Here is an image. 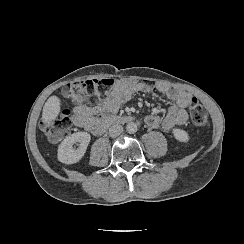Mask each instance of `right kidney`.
I'll return each mask as SVG.
<instances>
[{
  "instance_id": "obj_1",
  "label": "right kidney",
  "mask_w": 244,
  "mask_h": 244,
  "mask_svg": "<svg viewBox=\"0 0 244 244\" xmlns=\"http://www.w3.org/2000/svg\"><path fill=\"white\" fill-rule=\"evenodd\" d=\"M91 136L87 132H76L66 137L58 147V160L65 164L78 162L86 152ZM79 143L77 149L73 145Z\"/></svg>"
}]
</instances>
